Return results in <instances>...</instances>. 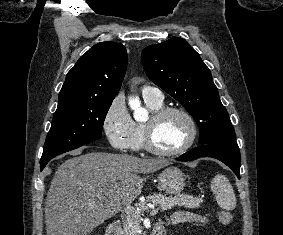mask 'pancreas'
<instances>
[{"instance_id": "cf45deb5", "label": "pancreas", "mask_w": 283, "mask_h": 235, "mask_svg": "<svg viewBox=\"0 0 283 235\" xmlns=\"http://www.w3.org/2000/svg\"><path fill=\"white\" fill-rule=\"evenodd\" d=\"M147 201L158 205L159 208L164 211L173 207H185V208H199L202 200L195 198L187 194H177L175 196H166L161 193L147 196ZM140 211L146 209L143 203H139ZM140 212L135 215L126 216L123 220V235H139L141 230L140 226Z\"/></svg>"}]
</instances>
